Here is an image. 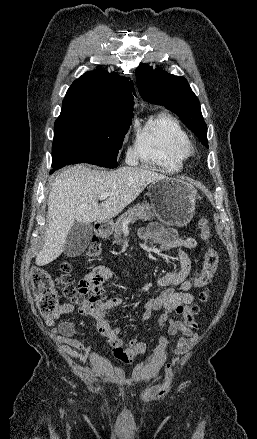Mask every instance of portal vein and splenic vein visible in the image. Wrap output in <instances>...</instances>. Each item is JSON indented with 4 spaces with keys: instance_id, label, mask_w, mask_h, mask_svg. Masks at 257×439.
Here are the masks:
<instances>
[{
    "instance_id": "portal-vein-and-splenic-vein-1",
    "label": "portal vein and splenic vein",
    "mask_w": 257,
    "mask_h": 439,
    "mask_svg": "<svg viewBox=\"0 0 257 439\" xmlns=\"http://www.w3.org/2000/svg\"><path fill=\"white\" fill-rule=\"evenodd\" d=\"M108 196H109V193H107V192H102V193L99 195V199H100V200H105ZM129 223H130V220L125 221V222H124V228H127V226H128Z\"/></svg>"
}]
</instances>
